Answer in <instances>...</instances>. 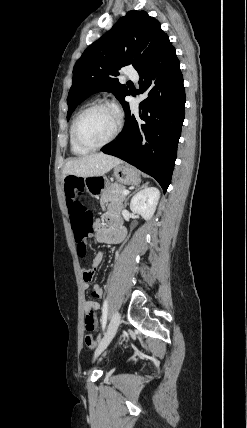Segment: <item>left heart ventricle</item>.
<instances>
[{"instance_id": "b2bd125f", "label": "left heart ventricle", "mask_w": 247, "mask_h": 428, "mask_svg": "<svg viewBox=\"0 0 247 428\" xmlns=\"http://www.w3.org/2000/svg\"><path fill=\"white\" fill-rule=\"evenodd\" d=\"M116 123L112 111L96 108L87 112L79 121L78 134L86 143L99 144L110 137Z\"/></svg>"}]
</instances>
